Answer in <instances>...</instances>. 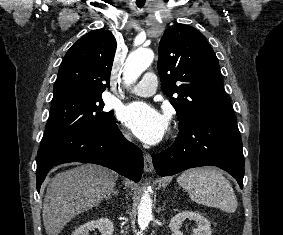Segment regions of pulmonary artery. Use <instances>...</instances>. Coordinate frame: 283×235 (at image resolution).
I'll return each instance as SVG.
<instances>
[{
	"label": "pulmonary artery",
	"mask_w": 283,
	"mask_h": 235,
	"mask_svg": "<svg viewBox=\"0 0 283 235\" xmlns=\"http://www.w3.org/2000/svg\"><path fill=\"white\" fill-rule=\"evenodd\" d=\"M157 88V76L154 73H146L139 83H137L131 92L135 95L147 97L155 93Z\"/></svg>",
	"instance_id": "pulmonary-artery-1"
}]
</instances>
